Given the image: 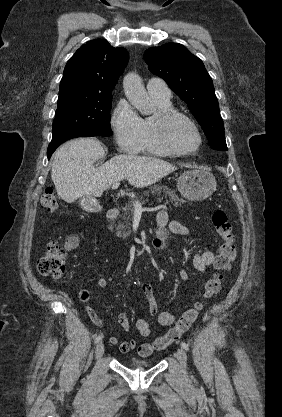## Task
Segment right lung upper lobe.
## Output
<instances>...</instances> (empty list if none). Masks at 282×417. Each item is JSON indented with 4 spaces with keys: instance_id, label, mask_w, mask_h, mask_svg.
<instances>
[{
    "instance_id": "obj_1",
    "label": "right lung upper lobe",
    "mask_w": 282,
    "mask_h": 417,
    "mask_svg": "<svg viewBox=\"0 0 282 417\" xmlns=\"http://www.w3.org/2000/svg\"><path fill=\"white\" fill-rule=\"evenodd\" d=\"M128 62L124 48L112 47L105 39L82 45L67 62L59 93L111 92Z\"/></svg>"
}]
</instances>
